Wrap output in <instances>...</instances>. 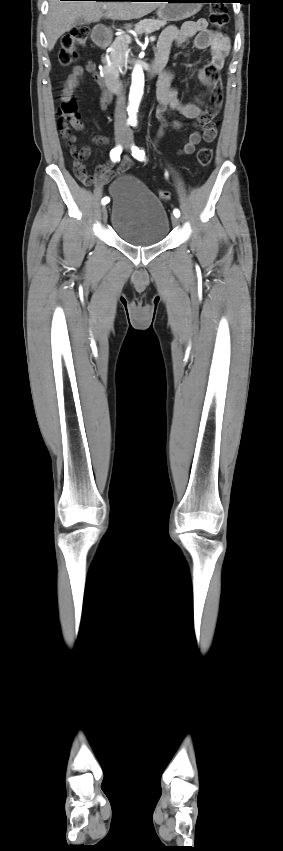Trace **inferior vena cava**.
Instances as JSON below:
<instances>
[{"label": "inferior vena cava", "instance_id": "1", "mask_svg": "<svg viewBox=\"0 0 283 851\" xmlns=\"http://www.w3.org/2000/svg\"><path fill=\"white\" fill-rule=\"evenodd\" d=\"M114 117H115V122H114L115 131L125 133L127 131L126 125H125L126 102H125V93H124L123 89H121L120 92L117 95Z\"/></svg>", "mask_w": 283, "mask_h": 851}]
</instances>
